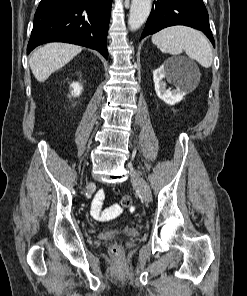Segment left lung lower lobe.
<instances>
[{
	"label": "left lung lower lobe",
	"mask_w": 247,
	"mask_h": 296,
	"mask_svg": "<svg viewBox=\"0 0 247 296\" xmlns=\"http://www.w3.org/2000/svg\"><path fill=\"white\" fill-rule=\"evenodd\" d=\"M173 25H185L201 30L215 47L209 17L202 0H156L141 38Z\"/></svg>",
	"instance_id": "obj_1"
}]
</instances>
